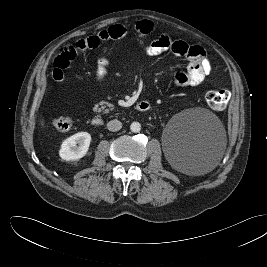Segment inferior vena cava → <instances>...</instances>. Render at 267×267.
<instances>
[{
  "instance_id": "1",
  "label": "inferior vena cava",
  "mask_w": 267,
  "mask_h": 267,
  "mask_svg": "<svg viewBox=\"0 0 267 267\" xmlns=\"http://www.w3.org/2000/svg\"><path fill=\"white\" fill-rule=\"evenodd\" d=\"M107 128L109 131H119L122 128V123L117 119L111 120L107 123Z\"/></svg>"
}]
</instances>
